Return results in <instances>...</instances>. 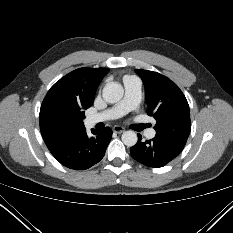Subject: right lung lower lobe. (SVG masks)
Returning <instances> with one entry per match:
<instances>
[{"mask_svg": "<svg viewBox=\"0 0 233 233\" xmlns=\"http://www.w3.org/2000/svg\"><path fill=\"white\" fill-rule=\"evenodd\" d=\"M94 136L88 137L83 129L68 139L49 149L52 155L65 167L85 170L98 163L105 155L112 138V130H92Z\"/></svg>", "mask_w": 233, "mask_h": 233, "instance_id": "98d812e1", "label": "right lung lower lobe"}]
</instances>
